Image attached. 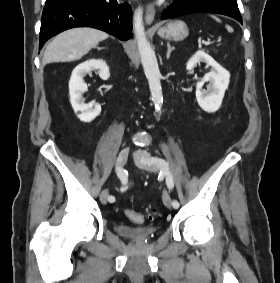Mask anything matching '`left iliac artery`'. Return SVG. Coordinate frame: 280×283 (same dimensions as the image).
<instances>
[{
  "mask_svg": "<svg viewBox=\"0 0 280 283\" xmlns=\"http://www.w3.org/2000/svg\"><path fill=\"white\" fill-rule=\"evenodd\" d=\"M153 161L155 163H157V165L161 169L160 172L166 177V184H167L168 188L169 189H173L174 182H173L172 174H171V172L169 170V164L164 159L158 158V157L153 158ZM172 206L174 208H178L179 207V202L177 200H173L172 201Z\"/></svg>",
  "mask_w": 280,
  "mask_h": 283,
  "instance_id": "1",
  "label": "left iliac artery"
}]
</instances>
